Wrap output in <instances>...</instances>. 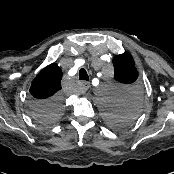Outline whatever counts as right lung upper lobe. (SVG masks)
Instances as JSON below:
<instances>
[{"label": "right lung upper lobe", "instance_id": "1", "mask_svg": "<svg viewBox=\"0 0 174 174\" xmlns=\"http://www.w3.org/2000/svg\"><path fill=\"white\" fill-rule=\"evenodd\" d=\"M62 71L57 64L45 67L33 80L30 93L34 100H49L59 96L61 90Z\"/></svg>", "mask_w": 174, "mask_h": 174}]
</instances>
